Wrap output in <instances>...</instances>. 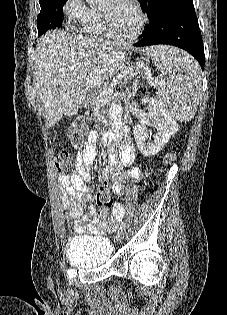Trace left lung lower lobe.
Here are the masks:
<instances>
[{"label": "left lung lower lobe", "mask_w": 227, "mask_h": 315, "mask_svg": "<svg viewBox=\"0 0 227 315\" xmlns=\"http://www.w3.org/2000/svg\"><path fill=\"white\" fill-rule=\"evenodd\" d=\"M156 44H167L186 50L204 70V47L193 4L179 5L158 15L145 26L142 39L134 46Z\"/></svg>", "instance_id": "0a47b994"}]
</instances>
